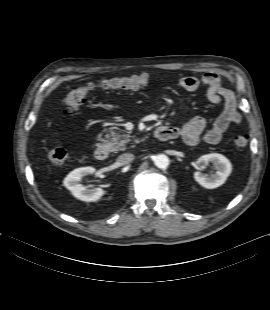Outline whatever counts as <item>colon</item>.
Instances as JSON below:
<instances>
[{"label":"colon","mask_w":270,"mask_h":310,"mask_svg":"<svg viewBox=\"0 0 270 310\" xmlns=\"http://www.w3.org/2000/svg\"><path fill=\"white\" fill-rule=\"evenodd\" d=\"M149 81L147 74L131 75L126 77H116L106 79L98 83H89L78 87L70 92L64 98V105L67 108H78L84 104L89 92L97 89H121L134 90L146 85ZM250 143V137L247 134L237 135L234 144L238 149H245ZM49 160L56 166H61L71 160V153L65 148L59 147L49 151Z\"/></svg>","instance_id":"5ec220e1"}]
</instances>
